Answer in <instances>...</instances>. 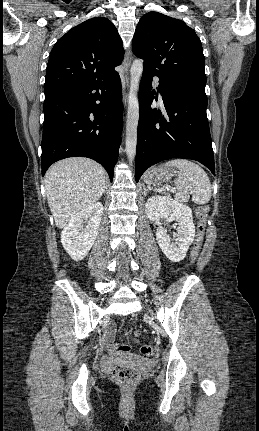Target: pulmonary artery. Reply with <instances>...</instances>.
<instances>
[{
  "mask_svg": "<svg viewBox=\"0 0 259 431\" xmlns=\"http://www.w3.org/2000/svg\"><path fill=\"white\" fill-rule=\"evenodd\" d=\"M154 82L157 86H159V79L158 78H154Z\"/></svg>",
  "mask_w": 259,
  "mask_h": 431,
  "instance_id": "1",
  "label": "pulmonary artery"
}]
</instances>
